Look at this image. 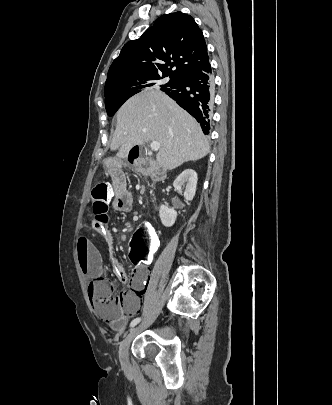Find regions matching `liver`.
<instances>
[{
  "mask_svg": "<svg viewBox=\"0 0 332 405\" xmlns=\"http://www.w3.org/2000/svg\"><path fill=\"white\" fill-rule=\"evenodd\" d=\"M110 148L117 158L128 156L134 145L160 143L157 163L173 170L210 152L207 138L196 120L160 91H146L126 101L117 112Z\"/></svg>",
  "mask_w": 332,
  "mask_h": 405,
  "instance_id": "1",
  "label": "liver"
}]
</instances>
